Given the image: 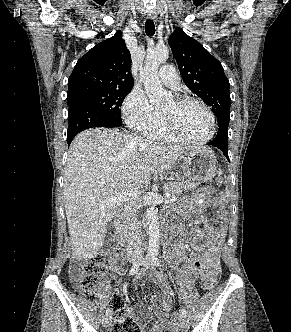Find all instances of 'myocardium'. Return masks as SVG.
<instances>
[{
	"instance_id": "obj_1",
	"label": "myocardium",
	"mask_w": 291,
	"mask_h": 332,
	"mask_svg": "<svg viewBox=\"0 0 291 332\" xmlns=\"http://www.w3.org/2000/svg\"><path fill=\"white\" fill-rule=\"evenodd\" d=\"M174 101L177 105H184L186 103H196L200 105L208 114L210 123H211V129L207 136L204 138L196 139L189 137L188 135L184 134L176 125L174 119L166 114L165 112L161 111V115L165 124L166 129L168 132L173 135L174 137L178 138L181 141L194 143V144H204L210 141L216 133L217 130V122L216 117L212 109L202 100L192 97V96H178L174 98Z\"/></svg>"
}]
</instances>
